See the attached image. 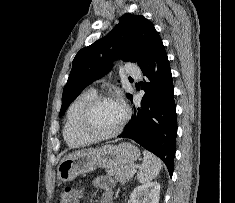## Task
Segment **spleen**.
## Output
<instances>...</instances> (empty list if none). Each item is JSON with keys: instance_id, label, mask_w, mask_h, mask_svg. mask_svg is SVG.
<instances>
[{"instance_id": "3e777b00", "label": "spleen", "mask_w": 235, "mask_h": 203, "mask_svg": "<svg viewBox=\"0 0 235 203\" xmlns=\"http://www.w3.org/2000/svg\"><path fill=\"white\" fill-rule=\"evenodd\" d=\"M144 160L137 173V178L141 183H147L155 179L163 165L162 162L154 154L144 150Z\"/></svg>"}]
</instances>
